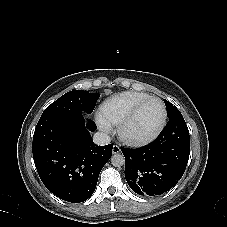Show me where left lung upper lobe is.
I'll list each match as a JSON object with an SVG mask.
<instances>
[{"label": "left lung upper lobe", "instance_id": "obj_1", "mask_svg": "<svg viewBox=\"0 0 227 227\" xmlns=\"http://www.w3.org/2000/svg\"><path fill=\"white\" fill-rule=\"evenodd\" d=\"M164 103L167 108V116L168 118L172 117L173 115L177 114L180 112L176 107H174L169 101L164 100Z\"/></svg>", "mask_w": 227, "mask_h": 227}]
</instances>
